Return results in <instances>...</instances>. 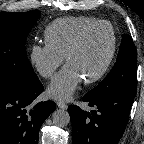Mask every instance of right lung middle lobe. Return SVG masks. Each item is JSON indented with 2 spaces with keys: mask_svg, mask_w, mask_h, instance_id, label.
<instances>
[{
  "mask_svg": "<svg viewBox=\"0 0 144 144\" xmlns=\"http://www.w3.org/2000/svg\"><path fill=\"white\" fill-rule=\"evenodd\" d=\"M40 15L39 10L0 12V84L30 87L39 81L28 61L25 41Z\"/></svg>",
  "mask_w": 144,
  "mask_h": 144,
  "instance_id": "obj_1",
  "label": "right lung middle lobe"
}]
</instances>
